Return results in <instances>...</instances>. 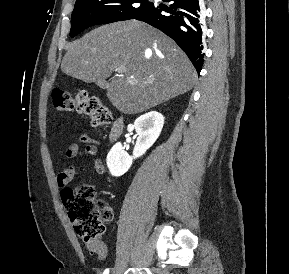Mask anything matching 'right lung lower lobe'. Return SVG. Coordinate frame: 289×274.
Listing matches in <instances>:
<instances>
[{
    "label": "right lung lower lobe",
    "instance_id": "right-lung-lower-lobe-1",
    "mask_svg": "<svg viewBox=\"0 0 289 274\" xmlns=\"http://www.w3.org/2000/svg\"><path fill=\"white\" fill-rule=\"evenodd\" d=\"M170 7L153 3L134 19L144 21L168 36L187 54L199 73L203 65V12L200 0H164Z\"/></svg>",
    "mask_w": 289,
    "mask_h": 274
}]
</instances>
